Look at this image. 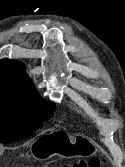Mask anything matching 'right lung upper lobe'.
Wrapping results in <instances>:
<instances>
[{
	"label": "right lung upper lobe",
	"mask_w": 125,
	"mask_h": 167,
	"mask_svg": "<svg viewBox=\"0 0 125 167\" xmlns=\"http://www.w3.org/2000/svg\"><path fill=\"white\" fill-rule=\"evenodd\" d=\"M0 95L13 98L39 96L22 62L10 59L0 60Z\"/></svg>",
	"instance_id": "obj_1"
}]
</instances>
